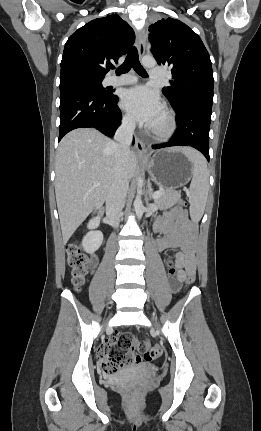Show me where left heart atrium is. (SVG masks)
I'll return each instance as SVG.
<instances>
[{
    "mask_svg": "<svg viewBox=\"0 0 261 431\" xmlns=\"http://www.w3.org/2000/svg\"><path fill=\"white\" fill-rule=\"evenodd\" d=\"M122 107L134 119L148 127H154L164 111L159 96L146 86L126 90L122 97Z\"/></svg>",
    "mask_w": 261,
    "mask_h": 431,
    "instance_id": "left-heart-atrium-1",
    "label": "left heart atrium"
}]
</instances>
